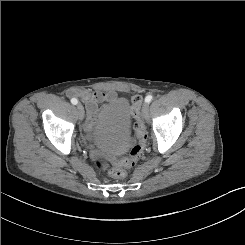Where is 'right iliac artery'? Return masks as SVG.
Returning <instances> with one entry per match:
<instances>
[{
	"label": "right iliac artery",
	"instance_id": "1",
	"mask_svg": "<svg viewBox=\"0 0 245 245\" xmlns=\"http://www.w3.org/2000/svg\"><path fill=\"white\" fill-rule=\"evenodd\" d=\"M71 103L74 104V105H76L78 103V100L76 98H72L71 99Z\"/></svg>",
	"mask_w": 245,
	"mask_h": 245
}]
</instances>
